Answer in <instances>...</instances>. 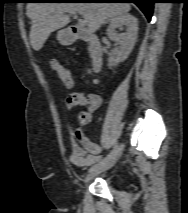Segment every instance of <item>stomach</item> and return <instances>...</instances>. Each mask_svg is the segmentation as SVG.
I'll use <instances>...</instances> for the list:
<instances>
[{"instance_id":"obj_1","label":"stomach","mask_w":188,"mask_h":213,"mask_svg":"<svg viewBox=\"0 0 188 213\" xmlns=\"http://www.w3.org/2000/svg\"><path fill=\"white\" fill-rule=\"evenodd\" d=\"M57 39L62 45H70L74 41L73 35L66 29L60 30L57 33Z\"/></svg>"}]
</instances>
